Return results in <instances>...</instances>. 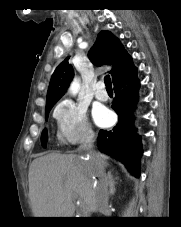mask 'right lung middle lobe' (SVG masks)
Masks as SVG:
<instances>
[{
	"instance_id": "1",
	"label": "right lung middle lobe",
	"mask_w": 181,
	"mask_h": 227,
	"mask_svg": "<svg viewBox=\"0 0 181 227\" xmlns=\"http://www.w3.org/2000/svg\"><path fill=\"white\" fill-rule=\"evenodd\" d=\"M53 105L50 106H46V119L48 117V113L50 111V109L52 108ZM47 132L46 130L43 131L42 136H41V143L43 147H46V143H47Z\"/></svg>"
}]
</instances>
